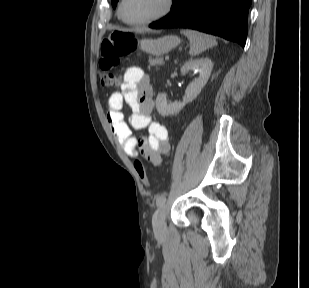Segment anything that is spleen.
<instances>
[{"instance_id": "obj_1", "label": "spleen", "mask_w": 309, "mask_h": 288, "mask_svg": "<svg viewBox=\"0 0 309 288\" xmlns=\"http://www.w3.org/2000/svg\"><path fill=\"white\" fill-rule=\"evenodd\" d=\"M181 33L190 41L189 54L191 56L199 55L206 49L217 45L215 37L211 35L190 29L182 30Z\"/></svg>"}]
</instances>
